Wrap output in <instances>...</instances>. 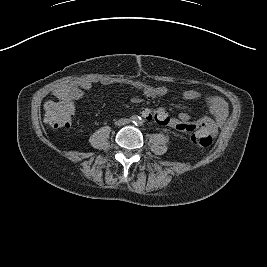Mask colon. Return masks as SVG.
<instances>
[{
    "label": "colon",
    "instance_id": "colon-1",
    "mask_svg": "<svg viewBox=\"0 0 267 267\" xmlns=\"http://www.w3.org/2000/svg\"><path fill=\"white\" fill-rule=\"evenodd\" d=\"M44 121L51 129H64L70 126L71 116L59 102L48 101L44 105ZM192 142L197 146L207 147L212 143V135L196 131L192 135Z\"/></svg>",
    "mask_w": 267,
    "mask_h": 267
}]
</instances>
